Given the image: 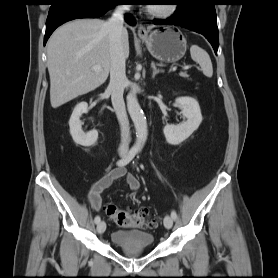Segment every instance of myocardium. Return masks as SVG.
<instances>
[{"mask_svg": "<svg viewBox=\"0 0 278 278\" xmlns=\"http://www.w3.org/2000/svg\"><path fill=\"white\" fill-rule=\"evenodd\" d=\"M177 8V4L170 3L162 8L148 7L147 12L153 17L165 19L174 15L177 11Z\"/></svg>", "mask_w": 278, "mask_h": 278, "instance_id": "obj_1", "label": "myocardium"}]
</instances>
